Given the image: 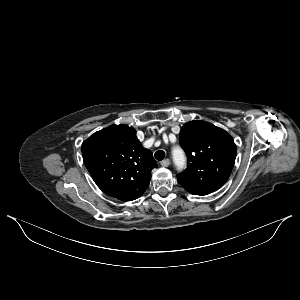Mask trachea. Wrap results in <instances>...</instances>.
Returning a JSON list of instances; mask_svg holds the SVG:
<instances>
[{
    "mask_svg": "<svg viewBox=\"0 0 300 300\" xmlns=\"http://www.w3.org/2000/svg\"><path fill=\"white\" fill-rule=\"evenodd\" d=\"M154 156L157 160L161 161L165 158V152L163 150H158L155 152Z\"/></svg>",
    "mask_w": 300,
    "mask_h": 300,
    "instance_id": "trachea-1",
    "label": "trachea"
}]
</instances>
